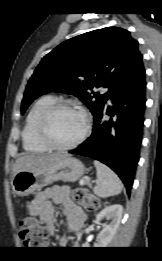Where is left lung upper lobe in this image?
<instances>
[{
	"mask_svg": "<svg viewBox=\"0 0 162 261\" xmlns=\"http://www.w3.org/2000/svg\"><path fill=\"white\" fill-rule=\"evenodd\" d=\"M141 62L138 42L123 28L106 27L71 38L37 66L26 86L21 113L37 97L56 91L78 97L94 115L112 88ZM102 86L109 92H93Z\"/></svg>",
	"mask_w": 162,
	"mask_h": 261,
	"instance_id": "5c2ea615",
	"label": "left lung upper lobe"
}]
</instances>
